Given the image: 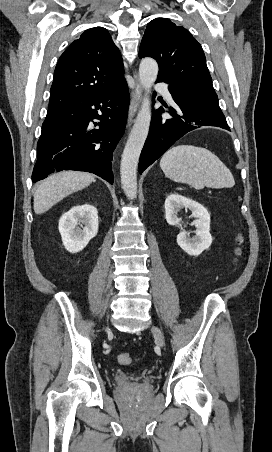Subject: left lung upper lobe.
I'll list each match as a JSON object with an SVG mask.
<instances>
[{
  "mask_svg": "<svg viewBox=\"0 0 272 452\" xmlns=\"http://www.w3.org/2000/svg\"><path fill=\"white\" fill-rule=\"evenodd\" d=\"M139 57L158 62L157 81L217 96L201 45L188 30L169 19L156 18L148 23Z\"/></svg>",
  "mask_w": 272,
  "mask_h": 452,
  "instance_id": "5c2ea615",
  "label": "left lung upper lobe"
}]
</instances>
